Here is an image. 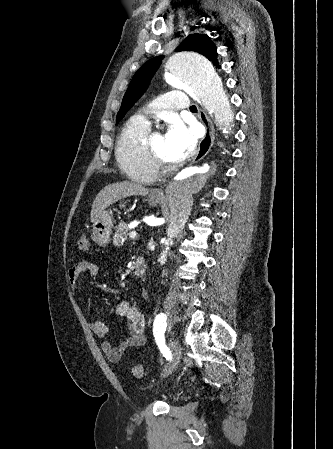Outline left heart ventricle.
Returning a JSON list of instances; mask_svg holds the SVG:
<instances>
[{"instance_id":"obj_1","label":"left heart ventricle","mask_w":333,"mask_h":449,"mask_svg":"<svg viewBox=\"0 0 333 449\" xmlns=\"http://www.w3.org/2000/svg\"><path fill=\"white\" fill-rule=\"evenodd\" d=\"M150 145L158 156H160L161 158L165 159L168 162L172 161L168 153L164 135H156L155 137H153L150 141Z\"/></svg>"}]
</instances>
